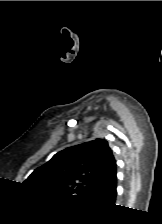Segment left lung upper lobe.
Masks as SVG:
<instances>
[{"mask_svg": "<svg viewBox=\"0 0 162 224\" xmlns=\"http://www.w3.org/2000/svg\"><path fill=\"white\" fill-rule=\"evenodd\" d=\"M115 171L116 161L107 141L96 139L58 152L25 183L55 194L87 198Z\"/></svg>", "mask_w": 162, "mask_h": 224, "instance_id": "5c2ea615", "label": "left lung upper lobe"}]
</instances>
